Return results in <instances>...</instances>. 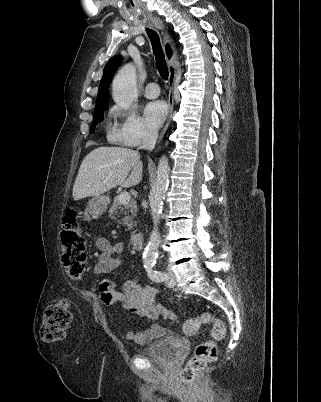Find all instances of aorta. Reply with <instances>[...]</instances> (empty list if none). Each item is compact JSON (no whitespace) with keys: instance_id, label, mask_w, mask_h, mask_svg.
I'll return each mask as SVG.
<instances>
[{"instance_id":"aorta-1","label":"aorta","mask_w":321,"mask_h":402,"mask_svg":"<svg viewBox=\"0 0 321 402\" xmlns=\"http://www.w3.org/2000/svg\"><path fill=\"white\" fill-rule=\"evenodd\" d=\"M137 96L136 69L132 63L126 64L114 77L112 84V97L114 102L123 108H128ZM169 184V163L166 156H162L157 167V176L149 196L150 211L153 221V230L143 254V264L148 270L155 264L160 234V222L163 200Z\"/></svg>"}]
</instances>
